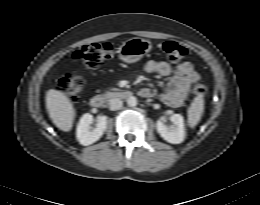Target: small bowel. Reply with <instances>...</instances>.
Wrapping results in <instances>:
<instances>
[{"label": "small bowel", "mask_w": 260, "mask_h": 205, "mask_svg": "<svg viewBox=\"0 0 260 205\" xmlns=\"http://www.w3.org/2000/svg\"><path fill=\"white\" fill-rule=\"evenodd\" d=\"M145 70L149 74H157L169 77L165 91L161 94V101L168 107H180L186 100L189 88L199 80L200 76L189 62H182L175 68L166 61L150 60L145 65ZM143 97L151 96L148 88L140 90Z\"/></svg>", "instance_id": "small-bowel-1"}]
</instances>
